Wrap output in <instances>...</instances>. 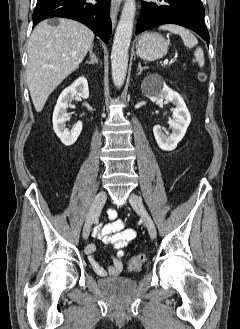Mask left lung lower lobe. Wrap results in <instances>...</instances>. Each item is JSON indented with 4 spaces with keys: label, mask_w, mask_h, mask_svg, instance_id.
Returning <instances> with one entry per match:
<instances>
[{
    "label": "left lung lower lobe",
    "mask_w": 240,
    "mask_h": 329,
    "mask_svg": "<svg viewBox=\"0 0 240 329\" xmlns=\"http://www.w3.org/2000/svg\"><path fill=\"white\" fill-rule=\"evenodd\" d=\"M163 24L189 28L209 44V33L204 24V7L200 0L143 1L136 34Z\"/></svg>",
    "instance_id": "0a47b994"
}]
</instances>
